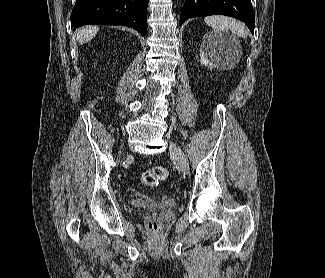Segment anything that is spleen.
<instances>
[{"label": "spleen", "mask_w": 325, "mask_h": 278, "mask_svg": "<svg viewBox=\"0 0 325 278\" xmlns=\"http://www.w3.org/2000/svg\"><path fill=\"white\" fill-rule=\"evenodd\" d=\"M205 23L217 31L230 30L239 37H247V31L242 23L226 16H208L205 17Z\"/></svg>", "instance_id": "1"}]
</instances>
